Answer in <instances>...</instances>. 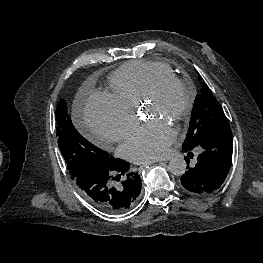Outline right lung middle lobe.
<instances>
[{
  "label": "right lung middle lobe",
  "mask_w": 263,
  "mask_h": 263,
  "mask_svg": "<svg viewBox=\"0 0 263 263\" xmlns=\"http://www.w3.org/2000/svg\"><path fill=\"white\" fill-rule=\"evenodd\" d=\"M55 115L59 149L72 179L85 169L103 166L109 162L111 156L107 152L88 142L75 129L65 100H60Z\"/></svg>",
  "instance_id": "right-lung-middle-lobe-1"
}]
</instances>
